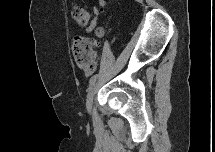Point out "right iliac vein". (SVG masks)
<instances>
[{"mask_svg": "<svg viewBox=\"0 0 215 152\" xmlns=\"http://www.w3.org/2000/svg\"><path fill=\"white\" fill-rule=\"evenodd\" d=\"M94 90H95V85H93L87 95V99H86V108L89 111L91 108V104H92V100H93V96H94Z\"/></svg>", "mask_w": 215, "mask_h": 152, "instance_id": "obj_1", "label": "right iliac vein"}]
</instances>
